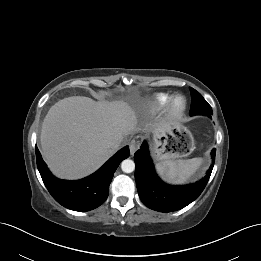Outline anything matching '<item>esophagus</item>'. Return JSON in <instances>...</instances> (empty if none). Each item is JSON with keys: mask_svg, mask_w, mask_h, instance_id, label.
<instances>
[{"mask_svg": "<svg viewBox=\"0 0 261 261\" xmlns=\"http://www.w3.org/2000/svg\"><path fill=\"white\" fill-rule=\"evenodd\" d=\"M139 147H140V141L138 139H133L129 145L131 154L133 155Z\"/></svg>", "mask_w": 261, "mask_h": 261, "instance_id": "obj_1", "label": "esophagus"}]
</instances>
